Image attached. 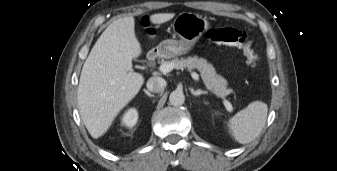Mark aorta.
<instances>
[{"label": "aorta", "mask_w": 337, "mask_h": 171, "mask_svg": "<svg viewBox=\"0 0 337 171\" xmlns=\"http://www.w3.org/2000/svg\"><path fill=\"white\" fill-rule=\"evenodd\" d=\"M170 104L173 106H181L185 101V96L182 91L175 90L170 93L169 96Z\"/></svg>", "instance_id": "1"}]
</instances>
